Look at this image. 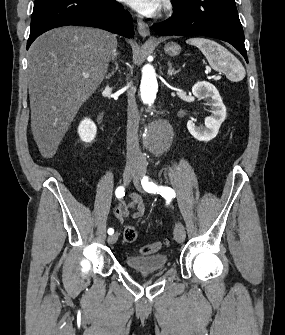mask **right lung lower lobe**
Segmentation results:
<instances>
[{
  "label": "right lung lower lobe",
  "instance_id": "1",
  "mask_svg": "<svg viewBox=\"0 0 285 335\" xmlns=\"http://www.w3.org/2000/svg\"><path fill=\"white\" fill-rule=\"evenodd\" d=\"M84 25L134 36L132 17L113 0H35L27 49L42 33L61 26Z\"/></svg>",
  "mask_w": 285,
  "mask_h": 335
}]
</instances>
